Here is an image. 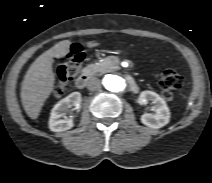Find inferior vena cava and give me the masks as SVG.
<instances>
[{"instance_id":"obj_1","label":"inferior vena cava","mask_w":212,"mask_h":183,"mask_svg":"<svg viewBox=\"0 0 212 183\" xmlns=\"http://www.w3.org/2000/svg\"><path fill=\"white\" fill-rule=\"evenodd\" d=\"M87 88L90 91H95L101 88V82L98 78L93 77L88 81Z\"/></svg>"}]
</instances>
